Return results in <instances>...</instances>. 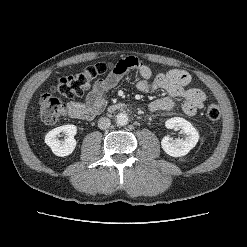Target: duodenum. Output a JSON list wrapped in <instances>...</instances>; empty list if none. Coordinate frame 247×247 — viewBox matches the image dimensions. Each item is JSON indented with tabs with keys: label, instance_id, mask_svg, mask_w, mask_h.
I'll return each mask as SVG.
<instances>
[{
	"label": "duodenum",
	"instance_id": "obj_1",
	"mask_svg": "<svg viewBox=\"0 0 247 247\" xmlns=\"http://www.w3.org/2000/svg\"><path fill=\"white\" fill-rule=\"evenodd\" d=\"M122 107H123L122 104H118V105H113V106H111L110 109H111V110H115V109H120V108H122Z\"/></svg>",
	"mask_w": 247,
	"mask_h": 247
}]
</instances>
